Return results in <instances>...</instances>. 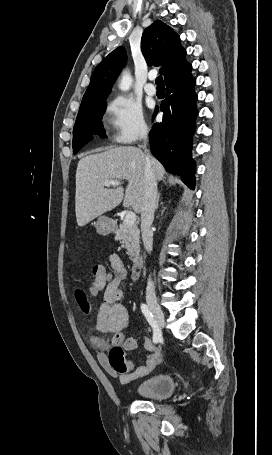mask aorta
Instances as JSON below:
<instances>
[{"label":"aorta","mask_w":272,"mask_h":455,"mask_svg":"<svg viewBox=\"0 0 272 455\" xmlns=\"http://www.w3.org/2000/svg\"><path fill=\"white\" fill-rule=\"evenodd\" d=\"M132 84V77L129 72L124 71L121 76L119 88L122 91H128L130 89V86Z\"/></svg>","instance_id":"762f6f07"}]
</instances>
